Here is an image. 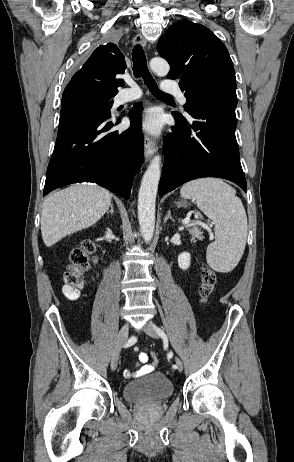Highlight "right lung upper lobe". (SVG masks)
<instances>
[{
	"label": "right lung upper lobe",
	"instance_id": "cb5924a9",
	"mask_svg": "<svg viewBox=\"0 0 294 462\" xmlns=\"http://www.w3.org/2000/svg\"><path fill=\"white\" fill-rule=\"evenodd\" d=\"M126 63L123 54L114 43L100 45L77 71L66 86L63 97L74 93H94L115 96L123 85L116 76L123 74Z\"/></svg>",
	"mask_w": 294,
	"mask_h": 462
}]
</instances>
